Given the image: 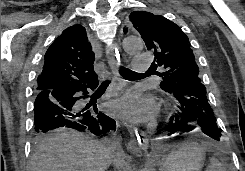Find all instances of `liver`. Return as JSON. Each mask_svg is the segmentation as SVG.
<instances>
[{
    "label": "liver",
    "instance_id": "liver-1",
    "mask_svg": "<svg viewBox=\"0 0 245 171\" xmlns=\"http://www.w3.org/2000/svg\"><path fill=\"white\" fill-rule=\"evenodd\" d=\"M124 161L113 149L77 131L61 128L44 137L34 154L30 171H105Z\"/></svg>",
    "mask_w": 245,
    "mask_h": 171
}]
</instances>
